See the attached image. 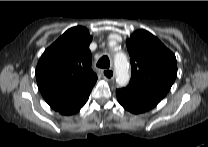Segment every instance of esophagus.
<instances>
[{
    "mask_svg": "<svg viewBox=\"0 0 208 147\" xmlns=\"http://www.w3.org/2000/svg\"><path fill=\"white\" fill-rule=\"evenodd\" d=\"M102 75L107 80H113L115 77V72L113 69H104V70H102Z\"/></svg>",
    "mask_w": 208,
    "mask_h": 147,
    "instance_id": "34e87169",
    "label": "esophagus"
}]
</instances>
